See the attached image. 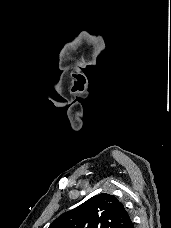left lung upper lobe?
Listing matches in <instances>:
<instances>
[{
	"instance_id": "5c2ea615",
	"label": "left lung upper lobe",
	"mask_w": 171,
	"mask_h": 228,
	"mask_svg": "<svg viewBox=\"0 0 171 228\" xmlns=\"http://www.w3.org/2000/svg\"><path fill=\"white\" fill-rule=\"evenodd\" d=\"M129 219L115 196L101 193L62 214L49 228H122Z\"/></svg>"
}]
</instances>
